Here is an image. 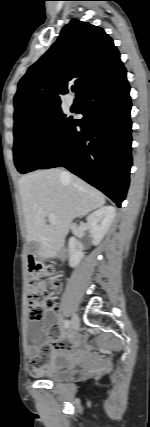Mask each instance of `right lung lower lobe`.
<instances>
[{"label": "right lung lower lobe", "instance_id": "right-lung-lower-lobe-1", "mask_svg": "<svg viewBox=\"0 0 150 427\" xmlns=\"http://www.w3.org/2000/svg\"><path fill=\"white\" fill-rule=\"evenodd\" d=\"M129 90L123 64L85 90L78 97L84 117L70 120L37 169L64 166L120 207L132 166Z\"/></svg>", "mask_w": 150, "mask_h": 427}]
</instances>
